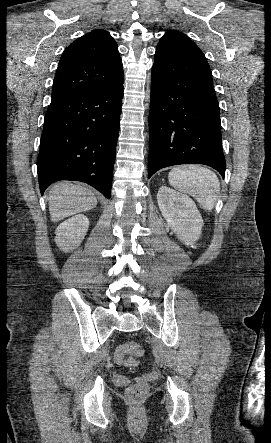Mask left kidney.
<instances>
[{
	"label": "left kidney",
	"instance_id": "5707ae66",
	"mask_svg": "<svg viewBox=\"0 0 271 443\" xmlns=\"http://www.w3.org/2000/svg\"><path fill=\"white\" fill-rule=\"evenodd\" d=\"M157 202L163 218L179 239L185 245H193L199 239L203 225L202 216L193 200L167 186H161Z\"/></svg>",
	"mask_w": 271,
	"mask_h": 443
}]
</instances>
